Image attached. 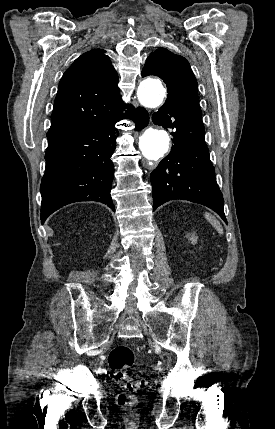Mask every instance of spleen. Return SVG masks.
I'll return each mask as SVG.
<instances>
[{
	"instance_id": "spleen-1",
	"label": "spleen",
	"mask_w": 275,
	"mask_h": 429,
	"mask_svg": "<svg viewBox=\"0 0 275 429\" xmlns=\"http://www.w3.org/2000/svg\"><path fill=\"white\" fill-rule=\"evenodd\" d=\"M205 218L220 234L223 233V228H222L220 222L213 215H211L209 213H205Z\"/></svg>"
}]
</instances>
